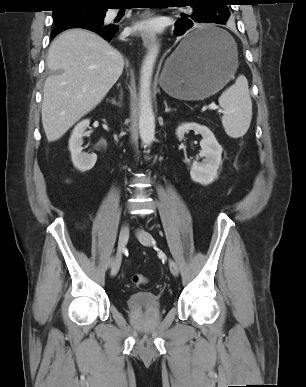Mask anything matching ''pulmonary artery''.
<instances>
[{
	"label": "pulmonary artery",
	"mask_w": 306,
	"mask_h": 387,
	"mask_svg": "<svg viewBox=\"0 0 306 387\" xmlns=\"http://www.w3.org/2000/svg\"><path fill=\"white\" fill-rule=\"evenodd\" d=\"M115 14H116V11H111V12L109 13V16L112 17V16H114Z\"/></svg>",
	"instance_id": "1"
}]
</instances>
